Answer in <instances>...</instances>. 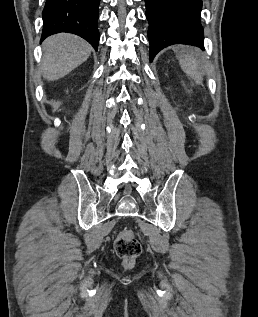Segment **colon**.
Segmentation results:
<instances>
[{"mask_svg": "<svg viewBox=\"0 0 258 317\" xmlns=\"http://www.w3.org/2000/svg\"><path fill=\"white\" fill-rule=\"evenodd\" d=\"M114 249L127 265L131 264L141 254V244L130 230L120 232L115 240Z\"/></svg>", "mask_w": 258, "mask_h": 317, "instance_id": "5ec220e1", "label": "colon"}]
</instances>
